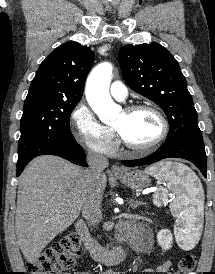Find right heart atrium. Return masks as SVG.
Wrapping results in <instances>:
<instances>
[{
    "label": "right heart atrium",
    "instance_id": "d8ad5b80",
    "mask_svg": "<svg viewBox=\"0 0 215 274\" xmlns=\"http://www.w3.org/2000/svg\"><path fill=\"white\" fill-rule=\"evenodd\" d=\"M70 126L75 140L86 149L104 155L115 150L113 130L101 124L85 102L81 101L74 107Z\"/></svg>",
    "mask_w": 215,
    "mask_h": 274
}]
</instances>
